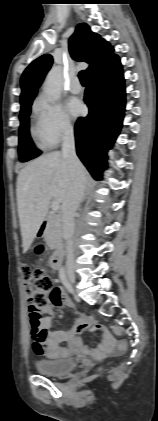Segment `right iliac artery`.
Listing matches in <instances>:
<instances>
[{"label":"right iliac artery","mask_w":158,"mask_h":421,"mask_svg":"<svg viewBox=\"0 0 158 421\" xmlns=\"http://www.w3.org/2000/svg\"><path fill=\"white\" fill-rule=\"evenodd\" d=\"M59 277H60V280H61L62 284L65 286V288L69 292H72L73 291V288H72V285L70 284V282H69V280L67 278V275H66V272H65V269L64 268H61L60 269V271H59Z\"/></svg>","instance_id":"right-iliac-artery-1"}]
</instances>
